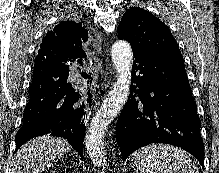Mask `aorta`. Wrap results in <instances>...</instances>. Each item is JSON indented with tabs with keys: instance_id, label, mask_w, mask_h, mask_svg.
Masks as SVG:
<instances>
[{
	"instance_id": "1",
	"label": "aorta",
	"mask_w": 219,
	"mask_h": 173,
	"mask_svg": "<svg viewBox=\"0 0 219 173\" xmlns=\"http://www.w3.org/2000/svg\"><path fill=\"white\" fill-rule=\"evenodd\" d=\"M111 57L117 72V79L102 106L91 119L84 140L87 153L92 163L97 166L105 165L104 136L109 124L126 103L130 91V71L133 62V52L130 44L122 40L116 42L112 46Z\"/></svg>"
}]
</instances>
